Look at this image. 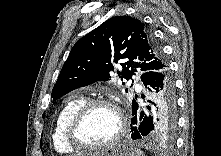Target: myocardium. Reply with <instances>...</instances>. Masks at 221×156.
I'll return each mask as SVG.
<instances>
[{"mask_svg": "<svg viewBox=\"0 0 221 156\" xmlns=\"http://www.w3.org/2000/svg\"><path fill=\"white\" fill-rule=\"evenodd\" d=\"M97 107H108L112 109L118 119V128L115 134L107 141L100 144H87L78 137V128L86 115ZM126 129L125 117L119 106L109 99H92L85 101L69 118L65 128V138L70 146L81 150H98L115 144L124 134Z\"/></svg>", "mask_w": 221, "mask_h": 156, "instance_id": "myocardium-1", "label": "myocardium"}]
</instances>
